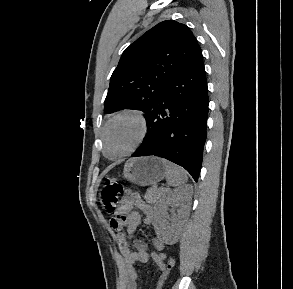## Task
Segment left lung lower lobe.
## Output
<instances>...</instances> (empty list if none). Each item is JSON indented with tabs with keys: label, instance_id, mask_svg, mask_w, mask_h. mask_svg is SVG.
<instances>
[{
	"label": "left lung lower lobe",
	"instance_id": "1",
	"mask_svg": "<svg viewBox=\"0 0 293 289\" xmlns=\"http://www.w3.org/2000/svg\"><path fill=\"white\" fill-rule=\"evenodd\" d=\"M202 53L146 112L148 132L132 157L155 155L184 167L197 182L208 114Z\"/></svg>",
	"mask_w": 293,
	"mask_h": 289
}]
</instances>
